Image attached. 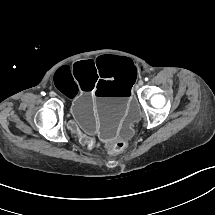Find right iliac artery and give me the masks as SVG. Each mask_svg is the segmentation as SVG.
I'll list each match as a JSON object with an SVG mask.
<instances>
[{"mask_svg":"<svg viewBox=\"0 0 215 215\" xmlns=\"http://www.w3.org/2000/svg\"><path fill=\"white\" fill-rule=\"evenodd\" d=\"M41 95L45 96V95H46V93H45L44 91H42V92H41Z\"/></svg>","mask_w":215,"mask_h":215,"instance_id":"1","label":"right iliac artery"}]
</instances>
